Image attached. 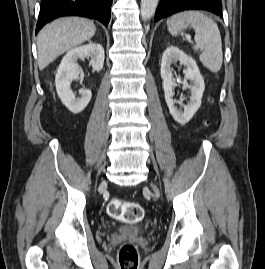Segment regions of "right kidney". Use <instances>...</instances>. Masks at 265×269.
Here are the masks:
<instances>
[{"label": "right kidney", "mask_w": 265, "mask_h": 269, "mask_svg": "<svg viewBox=\"0 0 265 269\" xmlns=\"http://www.w3.org/2000/svg\"><path fill=\"white\" fill-rule=\"evenodd\" d=\"M104 49L100 44L89 43L71 49L62 59L56 73V90L62 103L74 114L84 110L91 100L92 93L89 89L79 91L81 97H75L71 89V82L79 78V65L77 60L90 58L93 70L99 72L104 64Z\"/></svg>", "instance_id": "ca27d5eb"}]
</instances>
